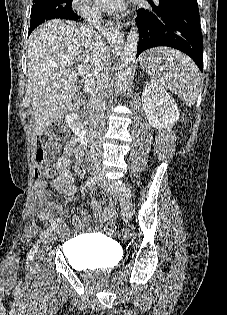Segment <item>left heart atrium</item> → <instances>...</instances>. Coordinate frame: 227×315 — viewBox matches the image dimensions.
Segmentation results:
<instances>
[{
  "label": "left heart atrium",
  "instance_id": "obj_1",
  "mask_svg": "<svg viewBox=\"0 0 227 315\" xmlns=\"http://www.w3.org/2000/svg\"><path fill=\"white\" fill-rule=\"evenodd\" d=\"M95 3L109 14H118L125 9V0H95Z\"/></svg>",
  "mask_w": 227,
  "mask_h": 315
}]
</instances>
